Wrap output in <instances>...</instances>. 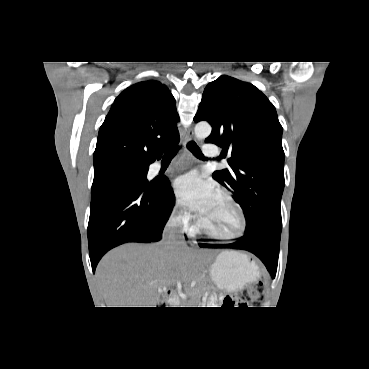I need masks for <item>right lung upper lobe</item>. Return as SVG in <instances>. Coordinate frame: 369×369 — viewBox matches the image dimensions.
I'll use <instances>...</instances> for the list:
<instances>
[{"instance_id":"cb5924a9","label":"right lung upper lobe","mask_w":369,"mask_h":369,"mask_svg":"<svg viewBox=\"0 0 369 369\" xmlns=\"http://www.w3.org/2000/svg\"><path fill=\"white\" fill-rule=\"evenodd\" d=\"M176 102L163 84L141 81L114 101L100 127L94 165L126 161L151 164L179 142Z\"/></svg>"}]
</instances>
